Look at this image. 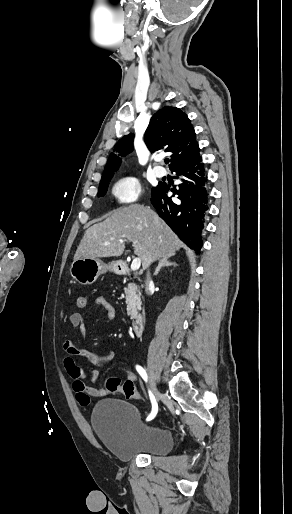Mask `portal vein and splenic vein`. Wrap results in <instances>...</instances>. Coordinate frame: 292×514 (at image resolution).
<instances>
[{"label": "portal vein and splenic vein", "mask_w": 292, "mask_h": 514, "mask_svg": "<svg viewBox=\"0 0 292 514\" xmlns=\"http://www.w3.org/2000/svg\"><path fill=\"white\" fill-rule=\"evenodd\" d=\"M119 242H125V240H119ZM141 266V260L140 258H134L132 264H131V270L135 272V270H139Z\"/></svg>", "instance_id": "18ae733b"}]
</instances>
